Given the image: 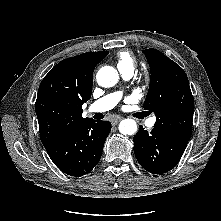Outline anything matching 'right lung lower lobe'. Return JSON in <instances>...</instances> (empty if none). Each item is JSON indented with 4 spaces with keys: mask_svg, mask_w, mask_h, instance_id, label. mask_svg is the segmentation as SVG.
<instances>
[{
    "mask_svg": "<svg viewBox=\"0 0 221 221\" xmlns=\"http://www.w3.org/2000/svg\"><path fill=\"white\" fill-rule=\"evenodd\" d=\"M110 130V122L90 119L44 147L62 172L71 176H83L99 162Z\"/></svg>",
    "mask_w": 221,
    "mask_h": 221,
    "instance_id": "right-lung-lower-lobe-1",
    "label": "right lung lower lobe"
}]
</instances>
